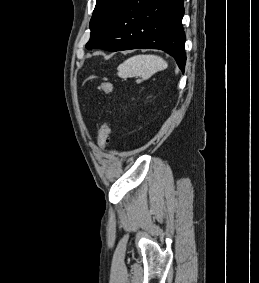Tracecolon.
Here are the masks:
<instances>
[{
    "label": "colon",
    "instance_id": "5ec220e1",
    "mask_svg": "<svg viewBox=\"0 0 259 283\" xmlns=\"http://www.w3.org/2000/svg\"><path fill=\"white\" fill-rule=\"evenodd\" d=\"M99 88L107 95H110L114 89L113 84L109 81H102L99 85ZM112 126V121L108 120L100 130L98 143L103 148L106 147L110 141Z\"/></svg>",
    "mask_w": 259,
    "mask_h": 283
}]
</instances>
